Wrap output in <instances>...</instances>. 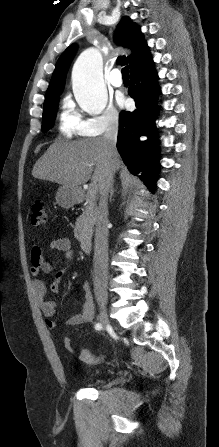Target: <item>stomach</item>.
Here are the masks:
<instances>
[{
    "label": "stomach",
    "mask_w": 219,
    "mask_h": 447,
    "mask_svg": "<svg viewBox=\"0 0 219 447\" xmlns=\"http://www.w3.org/2000/svg\"><path fill=\"white\" fill-rule=\"evenodd\" d=\"M80 196V190L77 187L61 186L56 193V201L63 208H70L76 204Z\"/></svg>",
    "instance_id": "obj_1"
}]
</instances>
